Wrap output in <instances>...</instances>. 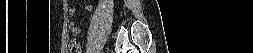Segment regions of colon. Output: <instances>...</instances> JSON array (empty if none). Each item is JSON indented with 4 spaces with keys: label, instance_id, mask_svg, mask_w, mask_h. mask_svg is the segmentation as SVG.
Segmentation results:
<instances>
[{
    "label": "colon",
    "instance_id": "obj_1",
    "mask_svg": "<svg viewBox=\"0 0 253 53\" xmlns=\"http://www.w3.org/2000/svg\"><path fill=\"white\" fill-rule=\"evenodd\" d=\"M70 53H80V43L77 39H72L69 42Z\"/></svg>",
    "mask_w": 253,
    "mask_h": 53
}]
</instances>
